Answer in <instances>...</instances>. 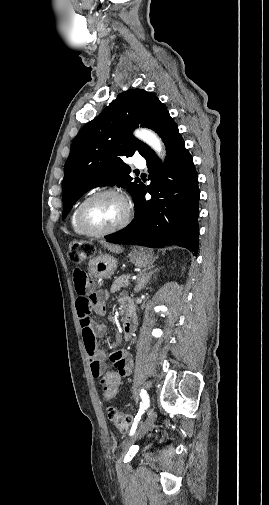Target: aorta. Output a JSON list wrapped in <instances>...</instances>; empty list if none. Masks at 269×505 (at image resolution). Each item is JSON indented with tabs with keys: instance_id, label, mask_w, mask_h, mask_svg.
I'll use <instances>...</instances> for the list:
<instances>
[{
	"instance_id": "1",
	"label": "aorta",
	"mask_w": 269,
	"mask_h": 505,
	"mask_svg": "<svg viewBox=\"0 0 269 505\" xmlns=\"http://www.w3.org/2000/svg\"><path fill=\"white\" fill-rule=\"evenodd\" d=\"M134 134L141 141L149 145L159 157H162V141L153 131L149 129H138Z\"/></svg>"
}]
</instances>
